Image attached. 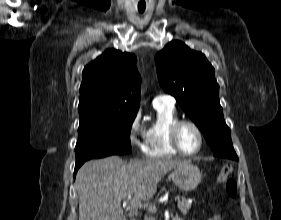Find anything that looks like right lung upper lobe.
Wrapping results in <instances>:
<instances>
[{
	"label": "right lung upper lobe",
	"instance_id": "right-lung-upper-lobe-1",
	"mask_svg": "<svg viewBox=\"0 0 281 220\" xmlns=\"http://www.w3.org/2000/svg\"><path fill=\"white\" fill-rule=\"evenodd\" d=\"M136 56L119 50H106L83 70L79 116L137 114L141 77Z\"/></svg>",
	"mask_w": 281,
	"mask_h": 220
}]
</instances>
